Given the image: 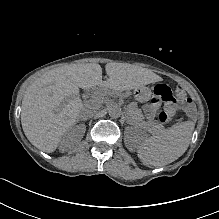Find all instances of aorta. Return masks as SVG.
Here are the masks:
<instances>
[{"mask_svg":"<svg viewBox=\"0 0 219 219\" xmlns=\"http://www.w3.org/2000/svg\"><path fill=\"white\" fill-rule=\"evenodd\" d=\"M106 108L112 118H119L122 114V109L116 102H108Z\"/></svg>","mask_w":219,"mask_h":219,"instance_id":"1","label":"aorta"}]
</instances>
